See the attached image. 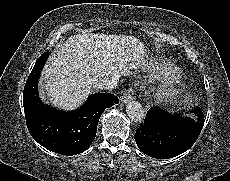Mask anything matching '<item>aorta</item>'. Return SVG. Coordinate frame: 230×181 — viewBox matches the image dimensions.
Listing matches in <instances>:
<instances>
[{
	"instance_id": "aorta-1",
	"label": "aorta",
	"mask_w": 230,
	"mask_h": 181,
	"mask_svg": "<svg viewBox=\"0 0 230 181\" xmlns=\"http://www.w3.org/2000/svg\"><path fill=\"white\" fill-rule=\"evenodd\" d=\"M126 112L133 122L142 123L144 121L145 111L138 101H129L126 106Z\"/></svg>"
}]
</instances>
